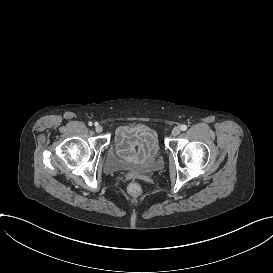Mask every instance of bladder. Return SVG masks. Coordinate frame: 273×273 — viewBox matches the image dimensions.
I'll use <instances>...</instances> for the list:
<instances>
[{
  "label": "bladder",
  "instance_id": "bladder-1",
  "mask_svg": "<svg viewBox=\"0 0 273 273\" xmlns=\"http://www.w3.org/2000/svg\"><path fill=\"white\" fill-rule=\"evenodd\" d=\"M114 148L115 145L113 144L110 147L109 153L104 161V170L109 174L129 171H136L139 173L148 174L157 172L163 168V158L161 154L156 155L152 160L147 161L144 164L133 165L119 158L114 153Z\"/></svg>",
  "mask_w": 273,
  "mask_h": 273
}]
</instances>
